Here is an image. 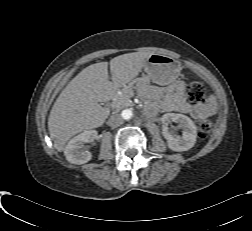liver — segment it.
<instances>
[{
	"label": "liver",
	"mask_w": 252,
	"mask_h": 231,
	"mask_svg": "<svg viewBox=\"0 0 252 231\" xmlns=\"http://www.w3.org/2000/svg\"><path fill=\"white\" fill-rule=\"evenodd\" d=\"M151 55L134 52L113 58L110 61L112 81L108 79V62L92 64L74 77L49 114L48 130L55 149L61 152L76 134L102 126L109 109L101 103L113 99L120 88L128 90L132 87Z\"/></svg>",
	"instance_id": "liver-1"
}]
</instances>
